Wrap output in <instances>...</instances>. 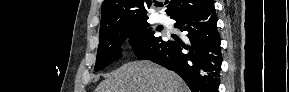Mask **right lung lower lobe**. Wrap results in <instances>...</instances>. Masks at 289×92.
Listing matches in <instances>:
<instances>
[{
    "instance_id": "obj_1",
    "label": "right lung lower lobe",
    "mask_w": 289,
    "mask_h": 92,
    "mask_svg": "<svg viewBox=\"0 0 289 92\" xmlns=\"http://www.w3.org/2000/svg\"><path fill=\"white\" fill-rule=\"evenodd\" d=\"M175 27L187 32L182 41L154 43L138 55L139 60H151L175 71L192 92H216L222 63L220 36L216 26L214 1L172 17Z\"/></svg>"
}]
</instances>
